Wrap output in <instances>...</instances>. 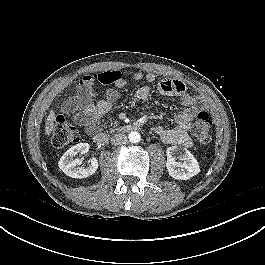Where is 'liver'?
<instances>
[{"label":"liver","mask_w":265,"mask_h":265,"mask_svg":"<svg viewBox=\"0 0 265 265\" xmlns=\"http://www.w3.org/2000/svg\"><path fill=\"white\" fill-rule=\"evenodd\" d=\"M54 121H55V112L51 110L49 115L47 116L46 123H45V134L48 136L54 129Z\"/></svg>","instance_id":"obj_1"}]
</instances>
